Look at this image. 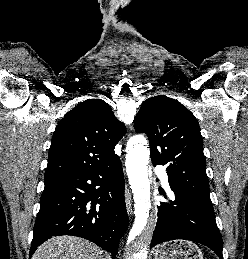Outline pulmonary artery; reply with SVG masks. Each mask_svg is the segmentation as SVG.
<instances>
[{
    "label": "pulmonary artery",
    "mask_w": 248,
    "mask_h": 259,
    "mask_svg": "<svg viewBox=\"0 0 248 259\" xmlns=\"http://www.w3.org/2000/svg\"><path fill=\"white\" fill-rule=\"evenodd\" d=\"M157 170L160 172L161 175V181L164 187L169 188V182H168V176L163 170L158 167Z\"/></svg>",
    "instance_id": "e3ab8cb5"
}]
</instances>
